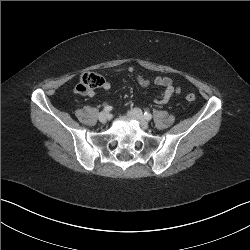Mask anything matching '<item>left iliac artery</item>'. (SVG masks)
Instances as JSON below:
<instances>
[{"instance_id": "left-iliac-artery-1", "label": "left iliac artery", "mask_w": 250, "mask_h": 250, "mask_svg": "<svg viewBox=\"0 0 250 250\" xmlns=\"http://www.w3.org/2000/svg\"><path fill=\"white\" fill-rule=\"evenodd\" d=\"M144 117H145V119H147V120H151V119H152V114L149 113V112H145V113H144Z\"/></svg>"}]
</instances>
